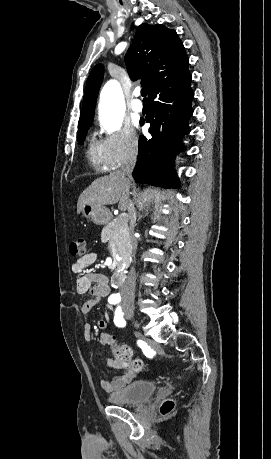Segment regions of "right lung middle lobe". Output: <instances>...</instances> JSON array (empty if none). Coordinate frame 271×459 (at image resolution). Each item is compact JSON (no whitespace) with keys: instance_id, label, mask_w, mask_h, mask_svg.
Instances as JSON below:
<instances>
[{"instance_id":"1","label":"right lung middle lobe","mask_w":271,"mask_h":459,"mask_svg":"<svg viewBox=\"0 0 271 459\" xmlns=\"http://www.w3.org/2000/svg\"><path fill=\"white\" fill-rule=\"evenodd\" d=\"M93 119L80 121L78 125L77 139L79 144H83L87 130L91 126Z\"/></svg>"}]
</instances>
